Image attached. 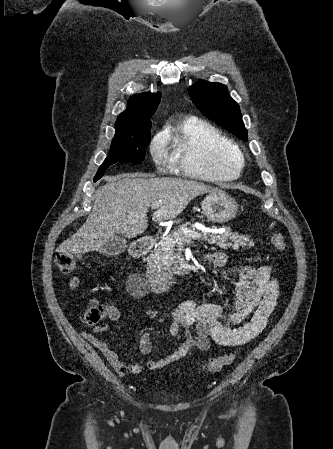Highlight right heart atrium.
I'll return each mask as SVG.
<instances>
[{"instance_id":"d8ad5b80","label":"right heart atrium","mask_w":333,"mask_h":449,"mask_svg":"<svg viewBox=\"0 0 333 449\" xmlns=\"http://www.w3.org/2000/svg\"><path fill=\"white\" fill-rule=\"evenodd\" d=\"M165 139L162 136H156L150 145V153L154 162L158 165L162 164L167 159L165 149Z\"/></svg>"}]
</instances>
